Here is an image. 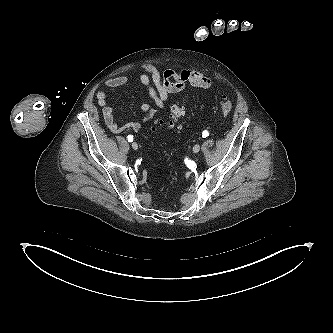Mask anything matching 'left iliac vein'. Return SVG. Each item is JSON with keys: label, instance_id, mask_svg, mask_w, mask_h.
<instances>
[{"label": "left iliac vein", "instance_id": "1", "mask_svg": "<svg viewBox=\"0 0 333 333\" xmlns=\"http://www.w3.org/2000/svg\"><path fill=\"white\" fill-rule=\"evenodd\" d=\"M200 151V146L198 144H196L194 147H193V152L194 153H198Z\"/></svg>", "mask_w": 333, "mask_h": 333}]
</instances>
